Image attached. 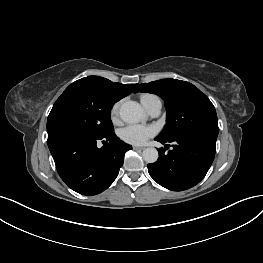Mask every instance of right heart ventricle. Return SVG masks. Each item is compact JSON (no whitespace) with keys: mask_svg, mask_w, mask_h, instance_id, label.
<instances>
[{"mask_svg":"<svg viewBox=\"0 0 263 263\" xmlns=\"http://www.w3.org/2000/svg\"><path fill=\"white\" fill-rule=\"evenodd\" d=\"M152 96H154V95H152V94H142L140 96L141 103H144L145 101H147Z\"/></svg>","mask_w":263,"mask_h":263,"instance_id":"1","label":"right heart ventricle"}]
</instances>
